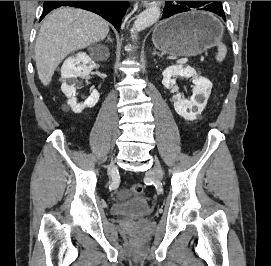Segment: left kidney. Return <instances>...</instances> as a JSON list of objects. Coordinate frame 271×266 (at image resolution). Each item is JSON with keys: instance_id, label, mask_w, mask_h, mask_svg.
<instances>
[{"instance_id": "obj_1", "label": "left kidney", "mask_w": 271, "mask_h": 266, "mask_svg": "<svg viewBox=\"0 0 271 266\" xmlns=\"http://www.w3.org/2000/svg\"><path fill=\"white\" fill-rule=\"evenodd\" d=\"M162 84L170 89L175 85L176 80L174 77H192L193 80V95L190 100L181 99L179 94L174 95V109L185 120L193 121L197 118V115L201 114L204 110L210 91L212 88L211 82L201 76H198L196 71L191 67H183L182 65H173L166 68L163 73ZM199 97H203V101L199 100Z\"/></svg>"}]
</instances>
